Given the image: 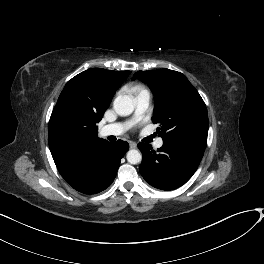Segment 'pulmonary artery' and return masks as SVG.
Segmentation results:
<instances>
[{
	"label": "pulmonary artery",
	"mask_w": 264,
	"mask_h": 264,
	"mask_svg": "<svg viewBox=\"0 0 264 264\" xmlns=\"http://www.w3.org/2000/svg\"><path fill=\"white\" fill-rule=\"evenodd\" d=\"M151 101L150 93L147 90L140 91L135 96V113L133 119L128 123H113L102 127L101 134L104 136H118L125 132L132 124L142 118L147 112ZM163 145L162 138H158L154 146L160 148Z\"/></svg>",
	"instance_id": "pulmonary-artery-1"
}]
</instances>
